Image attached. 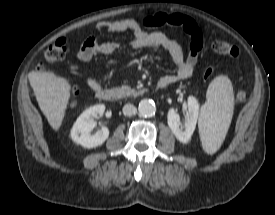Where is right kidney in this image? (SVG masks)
<instances>
[{
  "label": "right kidney",
  "instance_id": "right-kidney-1",
  "mask_svg": "<svg viewBox=\"0 0 275 215\" xmlns=\"http://www.w3.org/2000/svg\"><path fill=\"white\" fill-rule=\"evenodd\" d=\"M105 106L95 105L85 110L74 123L70 136L72 140L85 147L95 148L102 145L109 136V130L102 127L95 134H91V130L96 126L95 118L102 116Z\"/></svg>",
  "mask_w": 275,
  "mask_h": 215
}]
</instances>
